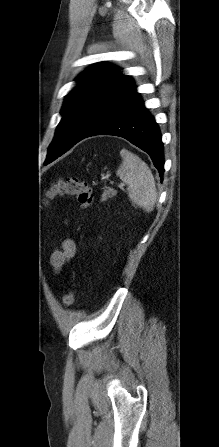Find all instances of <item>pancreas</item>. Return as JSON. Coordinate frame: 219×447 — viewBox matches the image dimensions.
<instances>
[{"instance_id":"pancreas-1","label":"pancreas","mask_w":219,"mask_h":447,"mask_svg":"<svg viewBox=\"0 0 219 447\" xmlns=\"http://www.w3.org/2000/svg\"><path fill=\"white\" fill-rule=\"evenodd\" d=\"M117 194V191L110 188V187H105L103 194L101 196V201H106L109 198L114 197Z\"/></svg>"}]
</instances>
